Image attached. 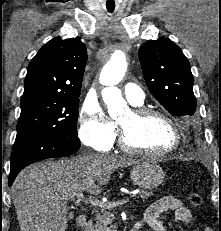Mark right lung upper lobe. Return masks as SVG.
<instances>
[{
    "label": "right lung upper lobe",
    "mask_w": 221,
    "mask_h": 231,
    "mask_svg": "<svg viewBox=\"0 0 221 231\" xmlns=\"http://www.w3.org/2000/svg\"><path fill=\"white\" fill-rule=\"evenodd\" d=\"M87 62L85 45L77 38H53L28 66L21 100L39 96L79 97Z\"/></svg>",
    "instance_id": "right-lung-upper-lobe-1"
}]
</instances>
